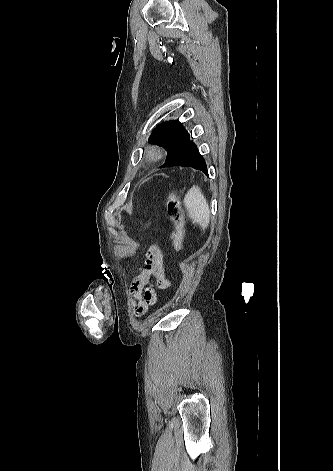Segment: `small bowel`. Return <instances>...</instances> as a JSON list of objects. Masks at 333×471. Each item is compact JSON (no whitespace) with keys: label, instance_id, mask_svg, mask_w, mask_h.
<instances>
[{"label":"small bowel","instance_id":"small-bowel-1","mask_svg":"<svg viewBox=\"0 0 333 471\" xmlns=\"http://www.w3.org/2000/svg\"><path fill=\"white\" fill-rule=\"evenodd\" d=\"M170 286L171 281L165 271L162 250L159 246L152 245L147 251L145 264L137 269V275L128 291V301L134 315L136 317L145 315L148 309L157 303V290H165Z\"/></svg>","mask_w":333,"mask_h":471}]
</instances>
